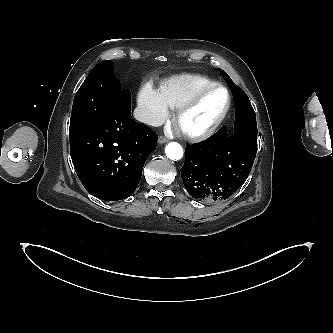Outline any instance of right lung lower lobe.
Segmentation results:
<instances>
[{
  "label": "right lung lower lobe",
  "instance_id": "obj_1",
  "mask_svg": "<svg viewBox=\"0 0 333 333\" xmlns=\"http://www.w3.org/2000/svg\"><path fill=\"white\" fill-rule=\"evenodd\" d=\"M131 96L121 90L105 115L79 137L70 140L75 171L93 196L121 200L133 194L157 136L130 114Z\"/></svg>",
  "mask_w": 333,
  "mask_h": 333
}]
</instances>
